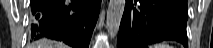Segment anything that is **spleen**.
<instances>
[{"mask_svg":"<svg viewBox=\"0 0 213 48\" xmlns=\"http://www.w3.org/2000/svg\"><path fill=\"white\" fill-rule=\"evenodd\" d=\"M154 48H174V47L169 44H166V43H159V44L155 45Z\"/></svg>","mask_w":213,"mask_h":48,"instance_id":"3e777b00","label":"spleen"}]
</instances>
